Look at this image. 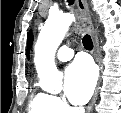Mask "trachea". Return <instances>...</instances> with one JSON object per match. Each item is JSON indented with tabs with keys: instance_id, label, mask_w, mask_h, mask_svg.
<instances>
[{
	"instance_id": "1",
	"label": "trachea",
	"mask_w": 121,
	"mask_h": 113,
	"mask_svg": "<svg viewBox=\"0 0 121 113\" xmlns=\"http://www.w3.org/2000/svg\"><path fill=\"white\" fill-rule=\"evenodd\" d=\"M67 2L69 3V5H72L74 3L73 0H67ZM82 42H83L85 49L91 50L93 48V42H92V39L89 35L86 34L83 37Z\"/></svg>"
}]
</instances>
